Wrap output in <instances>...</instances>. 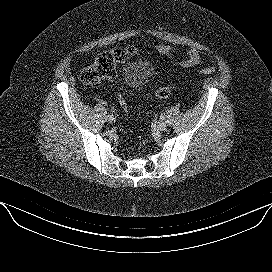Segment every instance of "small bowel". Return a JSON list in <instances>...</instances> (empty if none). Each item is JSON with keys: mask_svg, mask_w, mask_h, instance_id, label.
<instances>
[{"mask_svg": "<svg viewBox=\"0 0 272 272\" xmlns=\"http://www.w3.org/2000/svg\"><path fill=\"white\" fill-rule=\"evenodd\" d=\"M155 48L164 56L170 58V59H174L173 56V52L172 49L169 45L167 44H162L159 43L155 46ZM203 62V58L201 53L196 50V49H191L187 52V54L185 55V57L181 60L178 61V63L184 67V68H189V67H193L196 65H199Z\"/></svg>", "mask_w": 272, "mask_h": 272, "instance_id": "small-bowel-1", "label": "small bowel"}]
</instances>
